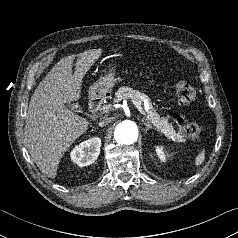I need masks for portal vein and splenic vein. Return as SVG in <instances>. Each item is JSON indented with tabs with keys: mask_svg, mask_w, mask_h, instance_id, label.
Instances as JSON below:
<instances>
[{
	"mask_svg": "<svg viewBox=\"0 0 238 238\" xmlns=\"http://www.w3.org/2000/svg\"><path fill=\"white\" fill-rule=\"evenodd\" d=\"M132 103L136 106V108L138 109V111L142 114V115H145L146 116V113L144 112V110L142 109L141 105L139 102H136V101H132ZM111 109V106L110 105H106L104 107H102V111L105 113V112H108L109 110Z\"/></svg>",
	"mask_w": 238,
	"mask_h": 238,
	"instance_id": "18ae733b",
	"label": "portal vein and splenic vein"
}]
</instances>
